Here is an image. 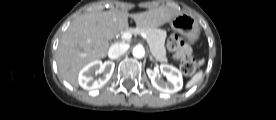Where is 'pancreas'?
<instances>
[{
    "label": "pancreas",
    "instance_id": "pancreas-1",
    "mask_svg": "<svg viewBox=\"0 0 276 120\" xmlns=\"http://www.w3.org/2000/svg\"><path fill=\"white\" fill-rule=\"evenodd\" d=\"M132 33H145L150 50L155 58L160 62H167L166 49L164 47L166 32L156 28L137 27L130 29Z\"/></svg>",
    "mask_w": 276,
    "mask_h": 120
}]
</instances>
